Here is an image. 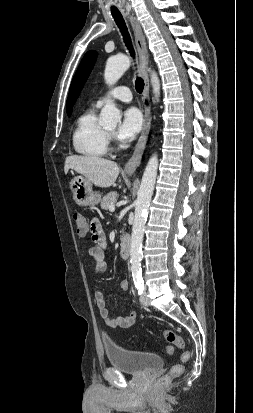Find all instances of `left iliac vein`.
<instances>
[{"mask_svg":"<svg viewBox=\"0 0 253 413\" xmlns=\"http://www.w3.org/2000/svg\"><path fill=\"white\" fill-rule=\"evenodd\" d=\"M140 301H141V303H142L144 306H148V305H149V299H148V297H147L146 291H144V292L141 294Z\"/></svg>","mask_w":253,"mask_h":413,"instance_id":"4c4485c4","label":"left iliac vein"}]
</instances>
